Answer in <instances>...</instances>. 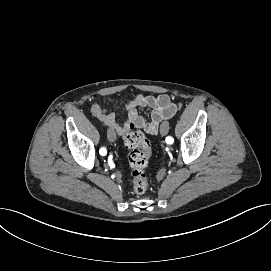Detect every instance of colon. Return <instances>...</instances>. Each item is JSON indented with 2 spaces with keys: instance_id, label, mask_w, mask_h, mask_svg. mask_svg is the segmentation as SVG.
Here are the masks:
<instances>
[{
  "instance_id": "1",
  "label": "colon",
  "mask_w": 271,
  "mask_h": 271,
  "mask_svg": "<svg viewBox=\"0 0 271 271\" xmlns=\"http://www.w3.org/2000/svg\"><path fill=\"white\" fill-rule=\"evenodd\" d=\"M123 142L130 149L129 165L133 191L138 195L144 194L148 189L144 170L152 154L151 143L142 132L134 131L132 128L124 133Z\"/></svg>"
}]
</instances>
